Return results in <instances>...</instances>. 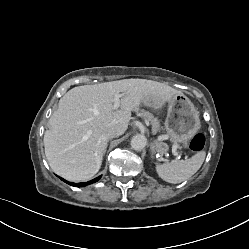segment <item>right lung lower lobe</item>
Here are the masks:
<instances>
[{"mask_svg": "<svg viewBox=\"0 0 249 249\" xmlns=\"http://www.w3.org/2000/svg\"><path fill=\"white\" fill-rule=\"evenodd\" d=\"M60 179H61L62 181H64V182L68 183V184L71 185V186L83 187V186H87V185H89V184H92V183H94V182H97V181L100 179V177H97V178H95V179H93V180H91V181L85 182V183H78V184L73 183V182H68V181H66V180H64V179H62V178H60Z\"/></svg>", "mask_w": 249, "mask_h": 249, "instance_id": "right-lung-lower-lobe-1", "label": "right lung lower lobe"}]
</instances>
